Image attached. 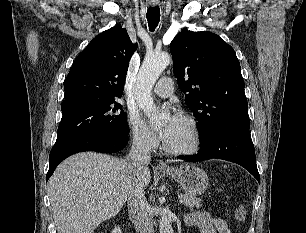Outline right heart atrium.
<instances>
[{"instance_id":"right-heart-atrium-1","label":"right heart atrium","mask_w":306,"mask_h":233,"mask_svg":"<svg viewBox=\"0 0 306 233\" xmlns=\"http://www.w3.org/2000/svg\"><path fill=\"white\" fill-rule=\"evenodd\" d=\"M129 130L133 145L141 150H152L157 141L154 134L147 128L137 113H131L128 117Z\"/></svg>"}]
</instances>
